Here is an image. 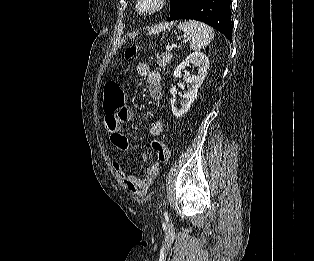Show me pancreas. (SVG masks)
<instances>
[{
	"label": "pancreas",
	"mask_w": 314,
	"mask_h": 261,
	"mask_svg": "<svg viewBox=\"0 0 314 261\" xmlns=\"http://www.w3.org/2000/svg\"><path fill=\"white\" fill-rule=\"evenodd\" d=\"M172 54L169 52H165L162 55L156 56V62L162 69H165L171 62Z\"/></svg>",
	"instance_id": "pancreas-1"
}]
</instances>
